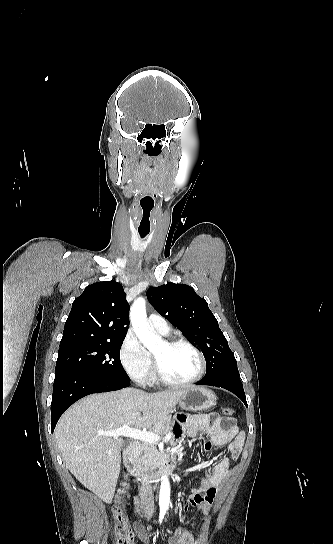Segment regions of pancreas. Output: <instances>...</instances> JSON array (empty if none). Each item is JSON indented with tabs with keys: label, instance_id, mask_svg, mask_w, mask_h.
I'll list each match as a JSON object with an SVG mask.
<instances>
[{
	"label": "pancreas",
	"instance_id": "pancreas-1",
	"mask_svg": "<svg viewBox=\"0 0 333 544\" xmlns=\"http://www.w3.org/2000/svg\"><path fill=\"white\" fill-rule=\"evenodd\" d=\"M170 425L171 417L168 416L156 423L151 431L163 435L169 432L171 428ZM135 457L143 461L144 464L148 465L153 463L157 457H159V452L157 451L155 443L143 441L136 445Z\"/></svg>",
	"mask_w": 333,
	"mask_h": 544
}]
</instances>
